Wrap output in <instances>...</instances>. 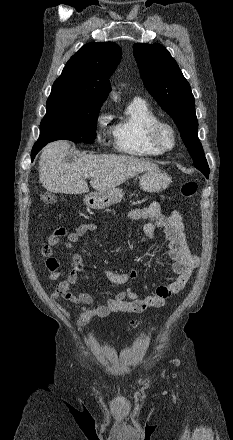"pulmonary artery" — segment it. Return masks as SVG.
<instances>
[{
  "mask_svg": "<svg viewBox=\"0 0 233 440\" xmlns=\"http://www.w3.org/2000/svg\"><path fill=\"white\" fill-rule=\"evenodd\" d=\"M135 99H141L140 97H136Z\"/></svg>",
  "mask_w": 233,
  "mask_h": 440,
  "instance_id": "pulmonary-artery-1",
  "label": "pulmonary artery"
}]
</instances>
